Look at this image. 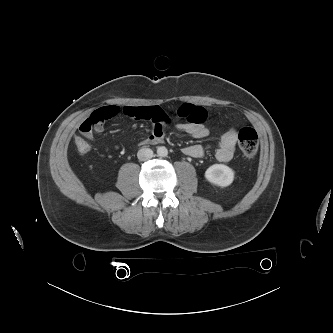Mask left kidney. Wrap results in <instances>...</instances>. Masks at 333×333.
<instances>
[{"mask_svg":"<svg viewBox=\"0 0 333 333\" xmlns=\"http://www.w3.org/2000/svg\"><path fill=\"white\" fill-rule=\"evenodd\" d=\"M205 178L214 185L226 187L233 182L234 172L224 164H214L206 170Z\"/></svg>","mask_w":333,"mask_h":333,"instance_id":"obj_1","label":"left kidney"}]
</instances>
